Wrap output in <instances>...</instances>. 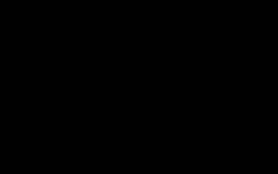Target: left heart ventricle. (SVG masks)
Instances as JSON below:
<instances>
[{"instance_id":"1","label":"left heart ventricle","mask_w":278,"mask_h":174,"mask_svg":"<svg viewBox=\"0 0 278 174\" xmlns=\"http://www.w3.org/2000/svg\"><path fill=\"white\" fill-rule=\"evenodd\" d=\"M177 62V57H176V55H174V54H172L171 55V63H176Z\"/></svg>"}]
</instances>
